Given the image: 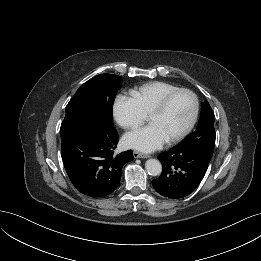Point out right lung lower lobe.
<instances>
[{
  "label": "right lung lower lobe",
  "mask_w": 261,
  "mask_h": 261,
  "mask_svg": "<svg viewBox=\"0 0 261 261\" xmlns=\"http://www.w3.org/2000/svg\"><path fill=\"white\" fill-rule=\"evenodd\" d=\"M118 141L115 128L79 130L62 139L63 163L78 191L104 197L116 190L123 165L134 159L131 150L114 154Z\"/></svg>",
  "instance_id": "right-lung-lower-lobe-1"
}]
</instances>
